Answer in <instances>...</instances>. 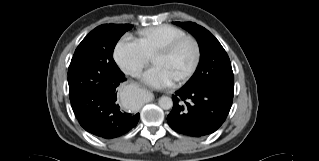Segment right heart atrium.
I'll use <instances>...</instances> for the list:
<instances>
[{"label":"right heart atrium","instance_id":"right-heart-atrium-1","mask_svg":"<svg viewBox=\"0 0 319 161\" xmlns=\"http://www.w3.org/2000/svg\"><path fill=\"white\" fill-rule=\"evenodd\" d=\"M113 56L117 65L132 76H138L148 64V58L141 48L129 37H123L116 43Z\"/></svg>","mask_w":319,"mask_h":161}]
</instances>
